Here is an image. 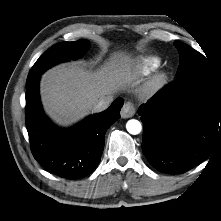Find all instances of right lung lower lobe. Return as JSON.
I'll use <instances>...</instances> for the list:
<instances>
[{"mask_svg":"<svg viewBox=\"0 0 221 221\" xmlns=\"http://www.w3.org/2000/svg\"><path fill=\"white\" fill-rule=\"evenodd\" d=\"M39 79L26 82V127L34 158L47 171L66 179H79L98 166L107 129L120 118L123 99L92 115L71 129L55 127L44 115L39 98Z\"/></svg>","mask_w":221,"mask_h":221,"instance_id":"1","label":"right lung lower lobe"}]
</instances>
